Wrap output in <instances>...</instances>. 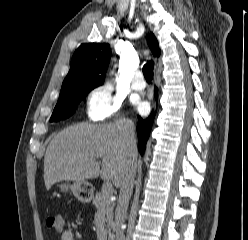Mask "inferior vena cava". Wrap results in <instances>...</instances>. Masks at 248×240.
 Here are the masks:
<instances>
[{
	"label": "inferior vena cava",
	"mask_w": 248,
	"mask_h": 240,
	"mask_svg": "<svg viewBox=\"0 0 248 240\" xmlns=\"http://www.w3.org/2000/svg\"><path fill=\"white\" fill-rule=\"evenodd\" d=\"M124 140L130 153L127 165L121 176L118 187L120 188L118 204L115 214V239L125 240L123 224L125 221L126 211L129 200L133 191L134 178L136 175L137 164L133 160L132 152L137 150L135 139V126L131 121L124 123L123 127Z\"/></svg>",
	"instance_id": "obj_1"
}]
</instances>
